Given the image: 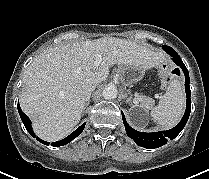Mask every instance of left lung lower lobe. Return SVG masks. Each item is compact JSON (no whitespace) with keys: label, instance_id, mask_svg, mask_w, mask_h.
<instances>
[{"label":"left lung lower lobe","instance_id":"0a47b994","mask_svg":"<svg viewBox=\"0 0 209 179\" xmlns=\"http://www.w3.org/2000/svg\"><path fill=\"white\" fill-rule=\"evenodd\" d=\"M163 49L172 56V60L182 69L185 75V91H186V111L179 122L174 128L166 131H159L153 133H145L139 132L134 130L132 127L129 126L127 123L125 116L122 112L123 123L127 132V135L132 138L137 145L145 148H158L167 143L168 140H173L184 128L186 125L190 111H191V91L189 87V73L187 68L185 67L184 63L178 56V54L169 46H163Z\"/></svg>","mask_w":209,"mask_h":179}]
</instances>
